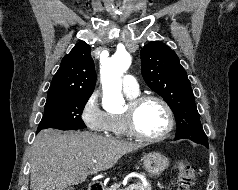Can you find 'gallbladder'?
I'll return each mask as SVG.
<instances>
[{"instance_id":"1","label":"gallbladder","mask_w":238,"mask_h":190,"mask_svg":"<svg viewBox=\"0 0 238 190\" xmlns=\"http://www.w3.org/2000/svg\"><path fill=\"white\" fill-rule=\"evenodd\" d=\"M64 190H74L73 187L67 186L64 188Z\"/></svg>"}]
</instances>
